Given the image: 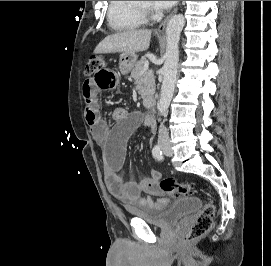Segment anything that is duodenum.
Returning <instances> with one entry per match:
<instances>
[{
  "instance_id": "410a0bca",
  "label": "duodenum",
  "mask_w": 271,
  "mask_h": 266,
  "mask_svg": "<svg viewBox=\"0 0 271 266\" xmlns=\"http://www.w3.org/2000/svg\"><path fill=\"white\" fill-rule=\"evenodd\" d=\"M145 104L149 107V108H154L156 105V99L154 97H146L145 98Z\"/></svg>"
}]
</instances>
